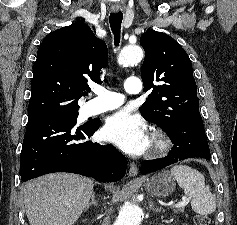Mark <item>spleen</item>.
I'll list each match as a JSON object with an SVG mask.
<instances>
[{
    "label": "spleen",
    "instance_id": "3e777b00",
    "mask_svg": "<svg viewBox=\"0 0 237 225\" xmlns=\"http://www.w3.org/2000/svg\"><path fill=\"white\" fill-rule=\"evenodd\" d=\"M171 175L177 180L178 185L191 199V207L200 215H209L216 210L215 197L210 188L205 186L204 175L190 166L178 164L171 168Z\"/></svg>",
    "mask_w": 237,
    "mask_h": 225
}]
</instances>
